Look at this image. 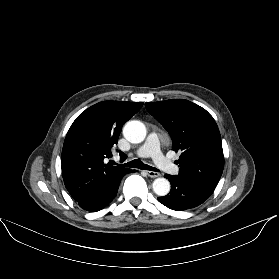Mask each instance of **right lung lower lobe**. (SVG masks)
<instances>
[{
  "label": "right lung lower lobe",
  "instance_id": "obj_1",
  "mask_svg": "<svg viewBox=\"0 0 279 279\" xmlns=\"http://www.w3.org/2000/svg\"><path fill=\"white\" fill-rule=\"evenodd\" d=\"M131 172H134V170L129 171V173ZM121 179L117 180L115 183L109 186L100 195L91 198L89 200L79 202V206L87 211H92V212L99 211L115 198Z\"/></svg>",
  "mask_w": 279,
  "mask_h": 279
}]
</instances>
